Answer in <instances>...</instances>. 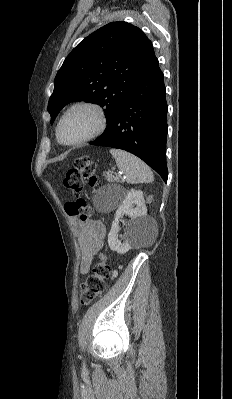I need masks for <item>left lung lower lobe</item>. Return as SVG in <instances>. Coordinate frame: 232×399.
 Segmentation results:
<instances>
[{
	"instance_id": "left-lung-lower-lobe-1",
	"label": "left lung lower lobe",
	"mask_w": 232,
	"mask_h": 399,
	"mask_svg": "<svg viewBox=\"0 0 232 399\" xmlns=\"http://www.w3.org/2000/svg\"><path fill=\"white\" fill-rule=\"evenodd\" d=\"M167 109L164 76L151 45L112 126L90 144L134 154L166 182Z\"/></svg>"
}]
</instances>
